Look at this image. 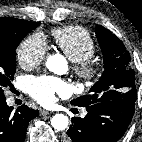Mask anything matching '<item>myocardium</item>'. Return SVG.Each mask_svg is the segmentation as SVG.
Here are the masks:
<instances>
[{"mask_svg":"<svg viewBox=\"0 0 142 142\" xmlns=\"http://www.w3.org/2000/svg\"><path fill=\"white\" fill-rule=\"evenodd\" d=\"M73 71L78 80L84 83H93L100 74V64L91 58L74 62Z\"/></svg>","mask_w":142,"mask_h":142,"instance_id":"1","label":"myocardium"}]
</instances>
